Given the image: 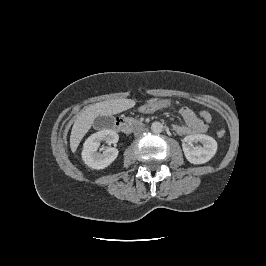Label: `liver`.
<instances>
[{"label":"liver","mask_w":266,"mask_h":266,"mask_svg":"<svg viewBox=\"0 0 266 266\" xmlns=\"http://www.w3.org/2000/svg\"><path fill=\"white\" fill-rule=\"evenodd\" d=\"M155 99L149 100L153 102ZM136 102L131 99H115L103 101L85 107L77 116L70 135V148L72 152L77 150L79 143L89 131L98 116H111L134 107Z\"/></svg>","instance_id":"liver-1"}]
</instances>
